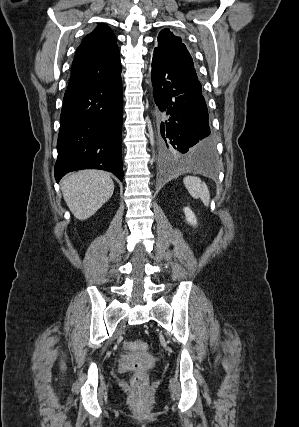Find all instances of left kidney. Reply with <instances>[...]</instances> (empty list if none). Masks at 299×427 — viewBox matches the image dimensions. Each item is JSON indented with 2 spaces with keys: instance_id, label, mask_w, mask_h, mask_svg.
<instances>
[{
  "instance_id": "5707ae66",
  "label": "left kidney",
  "mask_w": 299,
  "mask_h": 427,
  "mask_svg": "<svg viewBox=\"0 0 299 427\" xmlns=\"http://www.w3.org/2000/svg\"><path fill=\"white\" fill-rule=\"evenodd\" d=\"M185 216H186V221L188 222V224L192 225V226H196L197 225V219L193 213V211L189 208V207H185L183 209Z\"/></svg>"
}]
</instances>
